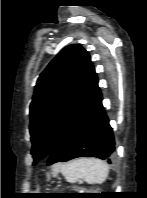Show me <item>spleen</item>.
<instances>
[{"instance_id": "1", "label": "spleen", "mask_w": 147, "mask_h": 198, "mask_svg": "<svg viewBox=\"0 0 147 198\" xmlns=\"http://www.w3.org/2000/svg\"><path fill=\"white\" fill-rule=\"evenodd\" d=\"M60 171L69 183L85 179L88 184H101L109 174V166L96 158H80L60 166Z\"/></svg>"}]
</instances>
